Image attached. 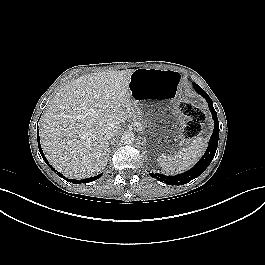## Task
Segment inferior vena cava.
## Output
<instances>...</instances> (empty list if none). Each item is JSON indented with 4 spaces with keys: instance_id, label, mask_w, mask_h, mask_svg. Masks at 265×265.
Segmentation results:
<instances>
[{
    "instance_id": "inferior-vena-cava-1",
    "label": "inferior vena cava",
    "mask_w": 265,
    "mask_h": 265,
    "mask_svg": "<svg viewBox=\"0 0 265 265\" xmlns=\"http://www.w3.org/2000/svg\"><path fill=\"white\" fill-rule=\"evenodd\" d=\"M117 133L118 130L111 124H105L101 129V134L107 139L114 137Z\"/></svg>"
}]
</instances>
